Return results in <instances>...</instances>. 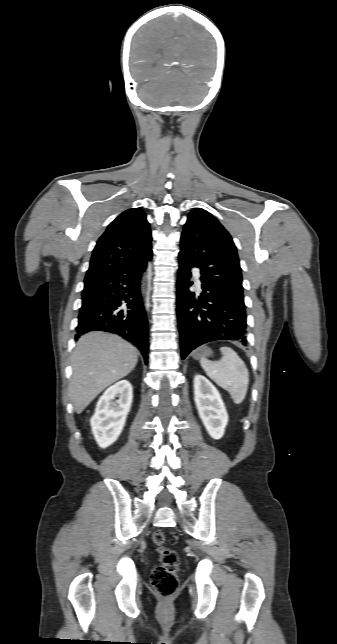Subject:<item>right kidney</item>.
Wrapping results in <instances>:
<instances>
[{
    "label": "right kidney",
    "instance_id": "right-kidney-1",
    "mask_svg": "<svg viewBox=\"0 0 337 644\" xmlns=\"http://www.w3.org/2000/svg\"><path fill=\"white\" fill-rule=\"evenodd\" d=\"M118 398V400H115ZM133 400L132 385L122 380L109 387L97 402L90 420L97 444L106 448L121 434Z\"/></svg>",
    "mask_w": 337,
    "mask_h": 644
}]
</instances>
